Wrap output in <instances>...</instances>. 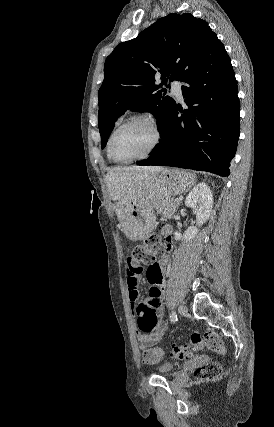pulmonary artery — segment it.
<instances>
[{
  "mask_svg": "<svg viewBox=\"0 0 274 427\" xmlns=\"http://www.w3.org/2000/svg\"><path fill=\"white\" fill-rule=\"evenodd\" d=\"M171 89H172V93L176 97V99H178L179 101H182L183 100V94H182L181 84L173 83L171 86Z\"/></svg>",
  "mask_w": 274,
  "mask_h": 427,
  "instance_id": "obj_1",
  "label": "pulmonary artery"
}]
</instances>
